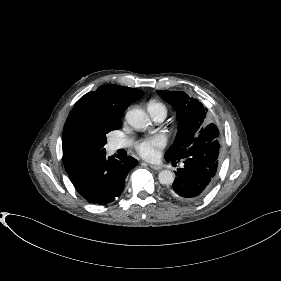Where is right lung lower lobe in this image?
<instances>
[{
  "mask_svg": "<svg viewBox=\"0 0 281 281\" xmlns=\"http://www.w3.org/2000/svg\"><path fill=\"white\" fill-rule=\"evenodd\" d=\"M106 157V152L93 156L68 173L69 178L89 203L107 204L118 197L128 173L138 164L130 156Z\"/></svg>",
  "mask_w": 281,
  "mask_h": 281,
  "instance_id": "98d812e1",
  "label": "right lung lower lobe"
}]
</instances>
